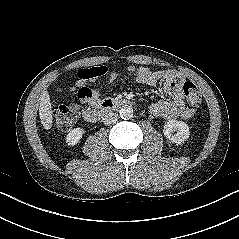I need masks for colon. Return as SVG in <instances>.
Returning <instances> with one entry per match:
<instances>
[{
    "label": "colon",
    "instance_id": "colon-1",
    "mask_svg": "<svg viewBox=\"0 0 239 239\" xmlns=\"http://www.w3.org/2000/svg\"><path fill=\"white\" fill-rule=\"evenodd\" d=\"M107 72L106 68L98 67L89 73V76H99ZM182 90L187 101L192 106H198L201 103V93L199 88L191 81H185L182 84ZM78 108L75 105H60L54 111L55 125L58 130H70L77 119Z\"/></svg>",
    "mask_w": 239,
    "mask_h": 239
}]
</instances>
